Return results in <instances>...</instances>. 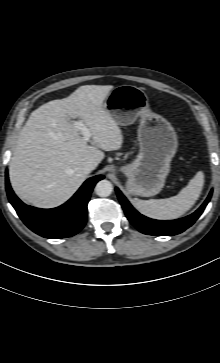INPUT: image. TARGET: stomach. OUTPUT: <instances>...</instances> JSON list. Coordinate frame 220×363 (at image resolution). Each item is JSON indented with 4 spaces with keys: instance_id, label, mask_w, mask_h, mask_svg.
Listing matches in <instances>:
<instances>
[{
    "instance_id": "stomach-1",
    "label": "stomach",
    "mask_w": 220,
    "mask_h": 363,
    "mask_svg": "<svg viewBox=\"0 0 220 363\" xmlns=\"http://www.w3.org/2000/svg\"><path fill=\"white\" fill-rule=\"evenodd\" d=\"M104 108L117 125L127 126L140 118L139 154L119 170L127 177L126 188L132 195L150 197L164 187L178 140L172 125L152 112L146 93L136 86L115 87L106 97Z\"/></svg>"
}]
</instances>
